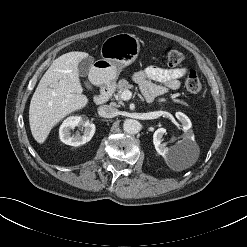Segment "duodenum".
I'll use <instances>...</instances> for the list:
<instances>
[{"label":"duodenum","mask_w":247,"mask_h":247,"mask_svg":"<svg viewBox=\"0 0 247 247\" xmlns=\"http://www.w3.org/2000/svg\"><path fill=\"white\" fill-rule=\"evenodd\" d=\"M113 88L111 85H104L100 92L94 97V102L98 105L105 104L112 95Z\"/></svg>","instance_id":"410a0bca"}]
</instances>
